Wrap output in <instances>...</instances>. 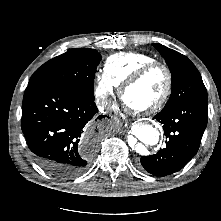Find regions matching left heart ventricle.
<instances>
[{
  "label": "left heart ventricle",
  "mask_w": 221,
  "mask_h": 221,
  "mask_svg": "<svg viewBox=\"0 0 221 221\" xmlns=\"http://www.w3.org/2000/svg\"><path fill=\"white\" fill-rule=\"evenodd\" d=\"M166 87V75L162 69H154L136 84L129 87L125 94L126 103L135 109H144L156 102Z\"/></svg>",
  "instance_id": "left-heart-ventricle-1"
}]
</instances>
